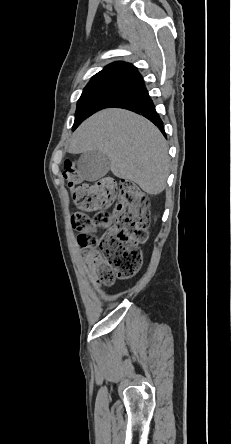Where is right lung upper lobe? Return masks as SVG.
<instances>
[{
  "label": "right lung upper lobe",
  "instance_id": "cb5924a9",
  "mask_svg": "<svg viewBox=\"0 0 231 444\" xmlns=\"http://www.w3.org/2000/svg\"><path fill=\"white\" fill-rule=\"evenodd\" d=\"M102 85L123 88L127 93L144 86L137 68L126 62H114L92 77L85 89Z\"/></svg>",
  "mask_w": 231,
  "mask_h": 444
}]
</instances>
